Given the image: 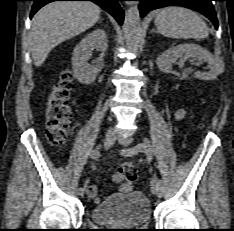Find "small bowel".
<instances>
[{
  "mask_svg": "<svg viewBox=\"0 0 234 231\" xmlns=\"http://www.w3.org/2000/svg\"><path fill=\"white\" fill-rule=\"evenodd\" d=\"M184 116H185L184 109H178L175 113V118L177 120L182 119ZM132 188H133V184L130 181L121 182L119 185V191L123 192V193L130 192L132 190ZM87 195L89 196V198H91V200L94 203H99L101 201V197L98 196L97 188L95 185H88L87 186Z\"/></svg>",
  "mask_w": 234,
  "mask_h": 231,
  "instance_id": "1",
  "label": "small bowel"
}]
</instances>
